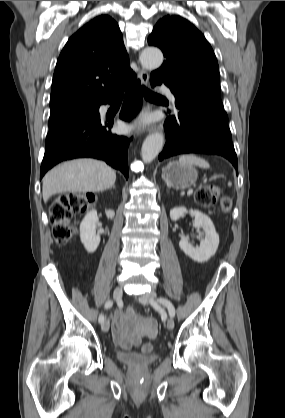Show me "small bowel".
<instances>
[{
  "instance_id": "c3829d8e",
  "label": "small bowel",
  "mask_w": 285,
  "mask_h": 418,
  "mask_svg": "<svg viewBox=\"0 0 285 418\" xmlns=\"http://www.w3.org/2000/svg\"><path fill=\"white\" fill-rule=\"evenodd\" d=\"M111 334L115 344L124 350L139 347L142 338L156 337L157 323L151 317H141L133 307H128L113 325Z\"/></svg>"
}]
</instances>
